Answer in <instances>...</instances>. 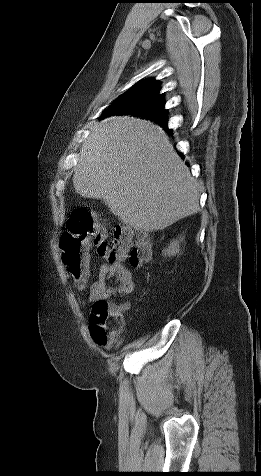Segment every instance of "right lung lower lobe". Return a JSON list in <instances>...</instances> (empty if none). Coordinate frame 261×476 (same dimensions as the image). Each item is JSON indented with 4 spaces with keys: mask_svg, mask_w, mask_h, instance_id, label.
Here are the masks:
<instances>
[{
    "mask_svg": "<svg viewBox=\"0 0 261 476\" xmlns=\"http://www.w3.org/2000/svg\"><path fill=\"white\" fill-rule=\"evenodd\" d=\"M160 126L163 127L165 130H168V127H167L166 123L160 124Z\"/></svg>",
    "mask_w": 261,
    "mask_h": 476,
    "instance_id": "98d812e1",
    "label": "right lung lower lobe"
}]
</instances>
